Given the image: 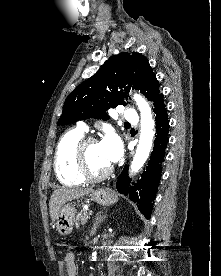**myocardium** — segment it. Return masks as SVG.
<instances>
[{
    "label": "myocardium",
    "instance_id": "1",
    "mask_svg": "<svg viewBox=\"0 0 221 276\" xmlns=\"http://www.w3.org/2000/svg\"><path fill=\"white\" fill-rule=\"evenodd\" d=\"M98 140L93 136L83 137L76 146L75 158L76 165L81 176L88 181H101L107 178L113 171V167L109 166L101 173H95L91 170L87 159V147L91 143H96Z\"/></svg>",
    "mask_w": 221,
    "mask_h": 276
}]
</instances>
